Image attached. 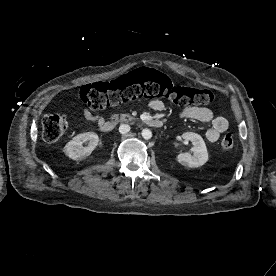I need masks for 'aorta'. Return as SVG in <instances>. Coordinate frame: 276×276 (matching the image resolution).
I'll return each mask as SVG.
<instances>
[{"mask_svg": "<svg viewBox=\"0 0 276 276\" xmlns=\"http://www.w3.org/2000/svg\"><path fill=\"white\" fill-rule=\"evenodd\" d=\"M141 134H142V137L146 140L152 137V132L149 129H143Z\"/></svg>", "mask_w": 276, "mask_h": 276, "instance_id": "762f6f07", "label": "aorta"}]
</instances>
